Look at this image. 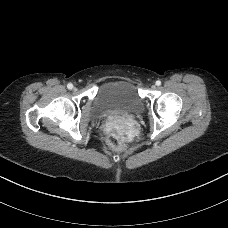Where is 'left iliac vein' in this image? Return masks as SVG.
Listing matches in <instances>:
<instances>
[{
	"label": "left iliac vein",
	"instance_id": "1",
	"mask_svg": "<svg viewBox=\"0 0 228 228\" xmlns=\"http://www.w3.org/2000/svg\"><path fill=\"white\" fill-rule=\"evenodd\" d=\"M151 88H152V89H155V88H156V86H155V85H152V86H151Z\"/></svg>",
	"mask_w": 228,
	"mask_h": 228
}]
</instances>
